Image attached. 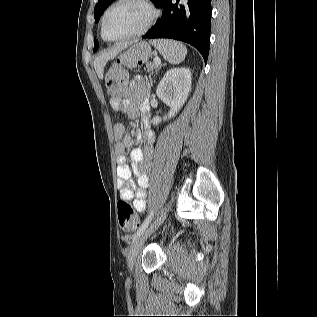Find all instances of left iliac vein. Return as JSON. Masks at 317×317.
<instances>
[{
  "label": "left iliac vein",
  "mask_w": 317,
  "mask_h": 317,
  "mask_svg": "<svg viewBox=\"0 0 317 317\" xmlns=\"http://www.w3.org/2000/svg\"><path fill=\"white\" fill-rule=\"evenodd\" d=\"M166 214L158 217L147 229L143 231V233L133 241L130 252L128 254L127 264L130 271H133L137 254L141 247L143 246L146 239L154 232V230L163 222Z\"/></svg>",
  "instance_id": "obj_1"
}]
</instances>
